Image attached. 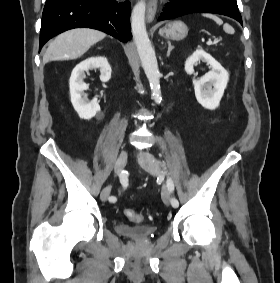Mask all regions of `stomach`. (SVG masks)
Returning <instances> with one entry per match:
<instances>
[{
	"label": "stomach",
	"instance_id": "0dacf381",
	"mask_svg": "<svg viewBox=\"0 0 280 283\" xmlns=\"http://www.w3.org/2000/svg\"><path fill=\"white\" fill-rule=\"evenodd\" d=\"M159 34L167 39L182 40L188 35V27L182 21H171L159 30Z\"/></svg>",
	"mask_w": 280,
	"mask_h": 283
}]
</instances>
